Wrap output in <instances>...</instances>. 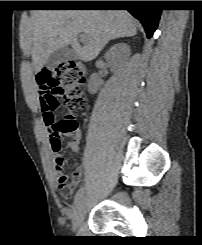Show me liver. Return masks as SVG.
Wrapping results in <instances>:
<instances>
[{
    "instance_id": "6515ba94",
    "label": "liver",
    "mask_w": 202,
    "mask_h": 245,
    "mask_svg": "<svg viewBox=\"0 0 202 245\" xmlns=\"http://www.w3.org/2000/svg\"><path fill=\"white\" fill-rule=\"evenodd\" d=\"M136 20L124 10H36L20 33V46L40 71L57 49L70 45L77 57L95 59L113 39L137 34ZM86 35L80 46L77 36Z\"/></svg>"
}]
</instances>
